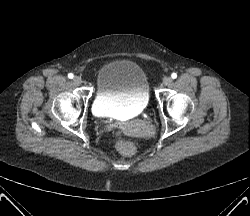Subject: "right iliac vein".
Here are the masks:
<instances>
[{
	"mask_svg": "<svg viewBox=\"0 0 250 216\" xmlns=\"http://www.w3.org/2000/svg\"><path fill=\"white\" fill-rule=\"evenodd\" d=\"M73 81H74V83H75L76 85H80V84L82 83V79H81V77H79V76H75V77L73 78Z\"/></svg>",
	"mask_w": 250,
	"mask_h": 216,
	"instance_id": "63e3f726",
	"label": "right iliac vein"
}]
</instances>
